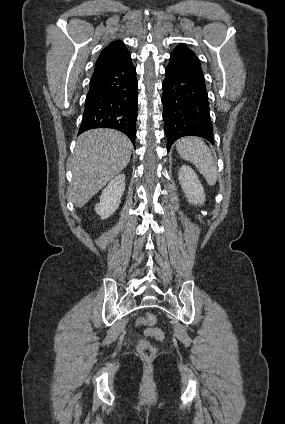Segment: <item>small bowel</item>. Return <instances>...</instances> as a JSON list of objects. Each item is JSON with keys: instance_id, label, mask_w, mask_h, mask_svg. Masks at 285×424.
Segmentation results:
<instances>
[{"instance_id": "obj_1", "label": "small bowel", "mask_w": 285, "mask_h": 424, "mask_svg": "<svg viewBox=\"0 0 285 424\" xmlns=\"http://www.w3.org/2000/svg\"><path fill=\"white\" fill-rule=\"evenodd\" d=\"M146 333H147V335L153 336V335H152V331H151V330H147V332H146Z\"/></svg>"}]
</instances>
